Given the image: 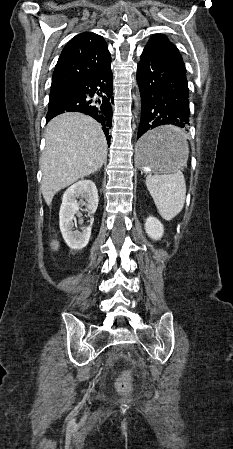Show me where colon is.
<instances>
[{"label": "colon", "instance_id": "1", "mask_svg": "<svg viewBox=\"0 0 233 449\" xmlns=\"http://www.w3.org/2000/svg\"><path fill=\"white\" fill-rule=\"evenodd\" d=\"M116 389L121 395H129L132 392L131 379L127 372L122 373L118 378Z\"/></svg>", "mask_w": 233, "mask_h": 449}]
</instances>
